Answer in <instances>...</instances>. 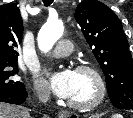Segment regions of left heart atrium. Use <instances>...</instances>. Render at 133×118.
<instances>
[{"label":"left heart atrium","mask_w":133,"mask_h":118,"mask_svg":"<svg viewBox=\"0 0 133 118\" xmlns=\"http://www.w3.org/2000/svg\"><path fill=\"white\" fill-rule=\"evenodd\" d=\"M76 85V72L70 69L57 72L50 78L52 92L63 99H70L74 95Z\"/></svg>","instance_id":"1"}]
</instances>
